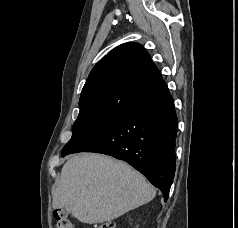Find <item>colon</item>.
<instances>
[{"mask_svg":"<svg viewBox=\"0 0 238 228\" xmlns=\"http://www.w3.org/2000/svg\"><path fill=\"white\" fill-rule=\"evenodd\" d=\"M53 219L55 222V228H74L73 222L67 212L63 209L54 210ZM91 228H115V224L112 221H104L94 224Z\"/></svg>","mask_w":238,"mask_h":228,"instance_id":"colon-1","label":"colon"}]
</instances>
